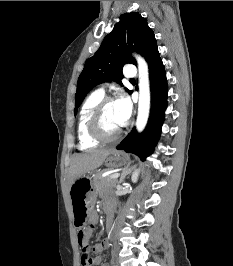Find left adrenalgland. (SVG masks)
<instances>
[{
    "mask_svg": "<svg viewBox=\"0 0 233 266\" xmlns=\"http://www.w3.org/2000/svg\"><path fill=\"white\" fill-rule=\"evenodd\" d=\"M130 172H131V169L128 168V167H126V168L121 172V176H120V181H119V183H122V182L124 181V179H125V176H126L127 174H129Z\"/></svg>",
    "mask_w": 233,
    "mask_h": 266,
    "instance_id": "left-adrenal-gland-1",
    "label": "left adrenal gland"
}]
</instances>
